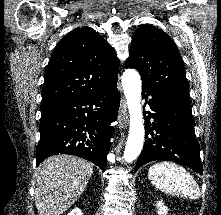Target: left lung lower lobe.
<instances>
[{"label": "left lung lower lobe", "instance_id": "0a47b994", "mask_svg": "<svg viewBox=\"0 0 221 215\" xmlns=\"http://www.w3.org/2000/svg\"><path fill=\"white\" fill-rule=\"evenodd\" d=\"M142 98L150 106V111L146 112V141L135 172L148 162L164 160L181 163L202 175L191 104L169 98L145 85H142ZM151 118L154 120L152 123Z\"/></svg>", "mask_w": 221, "mask_h": 215}]
</instances>
